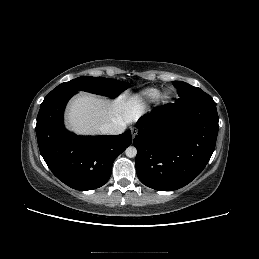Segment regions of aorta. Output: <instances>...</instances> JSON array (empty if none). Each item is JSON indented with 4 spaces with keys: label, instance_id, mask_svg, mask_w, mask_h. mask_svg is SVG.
Wrapping results in <instances>:
<instances>
[{
    "label": "aorta",
    "instance_id": "1",
    "mask_svg": "<svg viewBox=\"0 0 259 259\" xmlns=\"http://www.w3.org/2000/svg\"><path fill=\"white\" fill-rule=\"evenodd\" d=\"M125 154L129 158H133L137 154V149L134 146H130L125 150Z\"/></svg>",
    "mask_w": 259,
    "mask_h": 259
}]
</instances>
